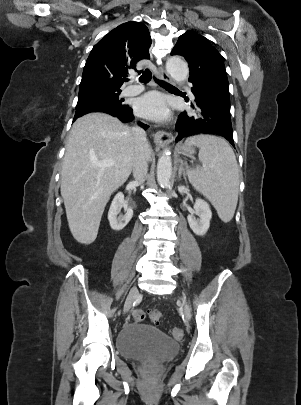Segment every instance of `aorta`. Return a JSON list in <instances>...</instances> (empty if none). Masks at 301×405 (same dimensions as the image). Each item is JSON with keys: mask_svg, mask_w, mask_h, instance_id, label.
<instances>
[{"mask_svg": "<svg viewBox=\"0 0 301 405\" xmlns=\"http://www.w3.org/2000/svg\"><path fill=\"white\" fill-rule=\"evenodd\" d=\"M166 70L176 82H184L188 79V65L178 56L170 57L167 60ZM170 154V149L165 148L157 163V181L163 188L170 185L172 175V159Z\"/></svg>", "mask_w": 301, "mask_h": 405, "instance_id": "762f6f07", "label": "aorta"}]
</instances>
